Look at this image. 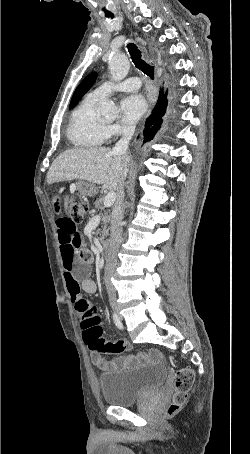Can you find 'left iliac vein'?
<instances>
[{"label":"left iliac vein","mask_w":250,"mask_h":454,"mask_svg":"<svg viewBox=\"0 0 250 454\" xmlns=\"http://www.w3.org/2000/svg\"><path fill=\"white\" fill-rule=\"evenodd\" d=\"M119 319L122 320V316H119Z\"/></svg>","instance_id":"left-iliac-vein-1"}]
</instances>
